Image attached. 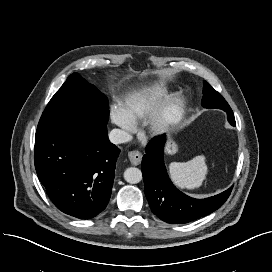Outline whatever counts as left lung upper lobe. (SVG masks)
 <instances>
[{"label": "left lung upper lobe", "mask_w": 272, "mask_h": 272, "mask_svg": "<svg viewBox=\"0 0 272 272\" xmlns=\"http://www.w3.org/2000/svg\"><path fill=\"white\" fill-rule=\"evenodd\" d=\"M203 98H202V106L205 108H217L222 109L224 111L230 110L229 104L226 100L217 92L215 91L209 83L206 81L203 82Z\"/></svg>", "instance_id": "obj_1"}]
</instances>
